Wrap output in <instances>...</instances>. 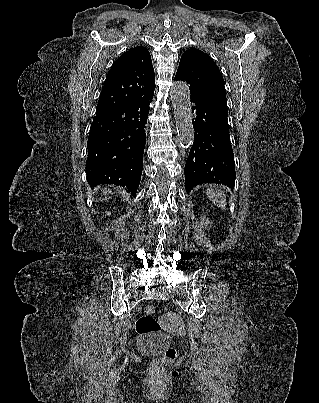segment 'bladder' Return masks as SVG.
Masks as SVG:
<instances>
[{
	"label": "bladder",
	"instance_id": "obj_1",
	"mask_svg": "<svg viewBox=\"0 0 319 403\" xmlns=\"http://www.w3.org/2000/svg\"><path fill=\"white\" fill-rule=\"evenodd\" d=\"M165 342L163 340H149L147 342H143L142 346L144 348L152 349L164 346Z\"/></svg>",
	"mask_w": 319,
	"mask_h": 403
}]
</instances>
